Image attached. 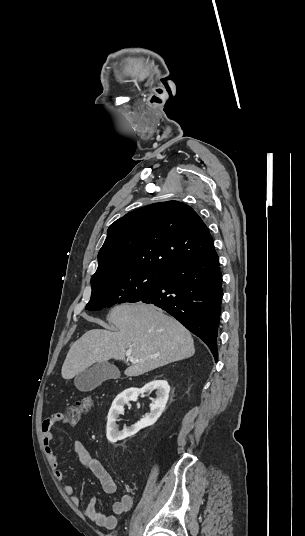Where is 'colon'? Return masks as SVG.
<instances>
[{"label": "colon", "instance_id": "5ec220e1", "mask_svg": "<svg viewBox=\"0 0 305 536\" xmlns=\"http://www.w3.org/2000/svg\"><path fill=\"white\" fill-rule=\"evenodd\" d=\"M93 404V398L91 396H86L78 400L75 404L68 405L66 410V423L74 425L78 422L81 415L89 411Z\"/></svg>", "mask_w": 305, "mask_h": 536}]
</instances>
